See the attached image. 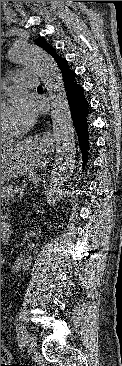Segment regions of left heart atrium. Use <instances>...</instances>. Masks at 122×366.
Segmentation results:
<instances>
[{"instance_id":"left-heart-atrium-1","label":"left heart atrium","mask_w":122,"mask_h":366,"mask_svg":"<svg viewBox=\"0 0 122 366\" xmlns=\"http://www.w3.org/2000/svg\"><path fill=\"white\" fill-rule=\"evenodd\" d=\"M8 111L14 119L18 131L28 129L36 119V107L33 99L22 92L13 95Z\"/></svg>"}]
</instances>
